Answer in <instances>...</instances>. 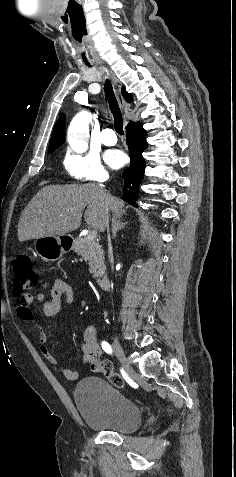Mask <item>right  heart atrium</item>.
<instances>
[{
	"label": "right heart atrium",
	"instance_id": "1",
	"mask_svg": "<svg viewBox=\"0 0 236 477\" xmlns=\"http://www.w3.org/2000/svg\"><path fill=\"white\" fill-rule=\"evenodd\" d=\"M66 173L82 183H101L108 173L99 157L94 153H77L70 151L63 160Z\"/></svg>",
	"mask_w": 236,
	"mask_h": 477
}]
</instances>
